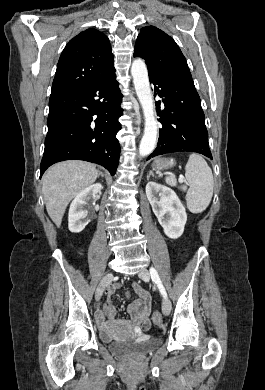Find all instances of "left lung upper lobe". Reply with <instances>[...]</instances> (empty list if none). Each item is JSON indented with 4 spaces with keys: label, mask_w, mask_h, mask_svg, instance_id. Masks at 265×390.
<instances>
[{
    "label": "left lung upper lobe",
    "mask_w": 265,
    "mask_h": 390,
    "mask_svg": "<svg viewBox=\"0 0 265 390\" xmlns=\"http://www.w3.org/2000/svg\"><path fill=\"white\" fill-rule=\"evenodd\" d=\"M134 56L145 59L150 77L192 79L179 46L170 36L154 26H146L140 30Z\"/></svg>",
    "instance_id": "left-lung-upper-lobe-1"
}]
</instances>
